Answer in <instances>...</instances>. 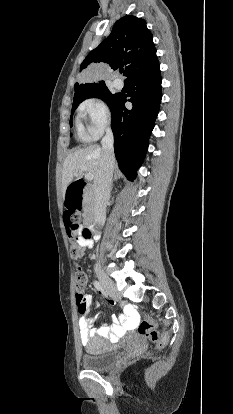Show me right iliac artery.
I'll use <instances>...</instances> for the list:
<instances>
[{"mask_svg":"<svg viewBox=\"0 0 233 414\" xmlns=\"http://www.w3.org/2000/svg\"><path fill=\"white\" fill-rule=\"evenodd\" d=\"M95 288L99 291V292H104L103 286L101 285V283L99 281H94L93 282Z\"/></svg>","mask_w":233,"mask_h":414,"instance_id":"82829eb1","label":"right iliac artery"}]
</instances>
